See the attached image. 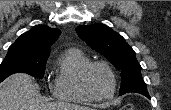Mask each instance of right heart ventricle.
I'll return each mask as SVG.
<instances>
[{"label":"right heart ventricle","mask_w":171,"mask_h":110,"mask_svg":"<svg viewBox=\"0 0 171 110\" xmlns=\"http://www.w3.org/2000/svg\"><path fill=\"white\" fill-rule=\"evenodd\" d=\"M89 57L80 49L65 50L58 58L51 91L55 98L75 103H89L92 100L80 85V74L90 63Z\"/></svg>","instance_id":"e07e8e85"}]
</instances>
